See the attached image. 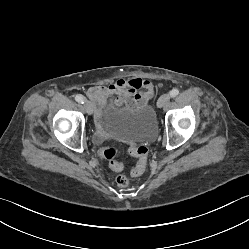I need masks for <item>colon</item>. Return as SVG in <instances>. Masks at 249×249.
I'll use <instances>...</instances> for the list:
<instances>
[{"label":"colon","instance_id":"1","mask_svg":"<svg viewBox=\"0 0 249 249\" xmlns=\"http://www.w3.org/2000/svg\"><path fill=\"white\" fill-rule=\"evenodd\" d=\"M131 153L138 158L136 166L132 170V175L138 177L142 175L146 169L148 159V147L145 144H137L131 147ZM119 150L115 146H104L100 149V156L106 160H109L110 167L114 171L120 172L122 170V164L115 160ZM116 183L120 187H125L129 184V178L124 174H119L116 177Z\"/></svg>","mask_w":249,"mask_h":249}]
</instances>
